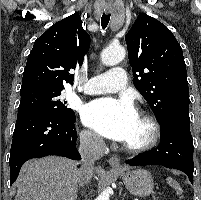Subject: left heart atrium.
Returning <instances> with one entry per match:
<instances>
[{"label":"left heart atrium","mask_w":201,"mask_h":200,"mask_svg":"<svg viewBox=\"0 0 201 200\" xmlns=\"http://www.w3.org/2000/svg\"><path fill=\"white\" fill-rule=\"evenodd\" d=\"M138 114L127 99L103 98L92 101L82 111L83 122L102 136L125 142Z\"/></svg>","instance_id":"39dd6f15"}]
</instances>
